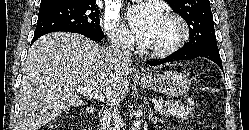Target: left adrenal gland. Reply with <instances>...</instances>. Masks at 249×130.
<instances>
[{"label":"left adrenal gland","mask_w":249,"mask_h":130,"mask_svg":"<svg viewBox=\"0 0 249 130\" xmlns=\"http://www.w3.org/2000/svg\"><path fill=\"white\" fill-rule=\"evenodd\" d=\"M149 121L151 122V124H156L157 122L163 123L162 119H159L157 117H153L152 113H149Z\"/></svg>","instance_id":"a2214340"}]
</instances>
